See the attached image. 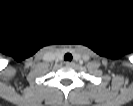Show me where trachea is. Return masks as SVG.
Listing matches in <instances>:
<instances>
[{
	"label": "trachea",
	"mask_w": 133,
	"mask_h": 106,
	"mask_svg": "<svg viewBox=\"0 0 133 106\" xmlns=\"http://www.w3.org/2000/svg\"><path fill=\"white\" fill-rule=\"evenodd\" d=\"M72 54H70V53H66L65 55H64V60L65 61H72Z\"/></svg>",
	"instance_id": "1"
}]
</instances>
